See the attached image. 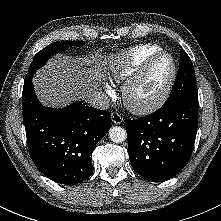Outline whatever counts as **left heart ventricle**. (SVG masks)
Returning <instances> with one entry per match:
<instances>
[{"mask_svg":"<svg viewBox=\"0 0 221 221\" xmlns=\"http://www.w3.org/2000/svg\"><path fill=\"white\" fill-rule=\"evenodd\" d=\"M171 71L172 62L168 56L157 59L147 73L132 88L130 101L135 104H141L154 99L168 82Z\"/></svg>","mask_w":221,"mask_h":221,"instance_id":"obj_1","label":"left heart ventricle"}]
</instances>
